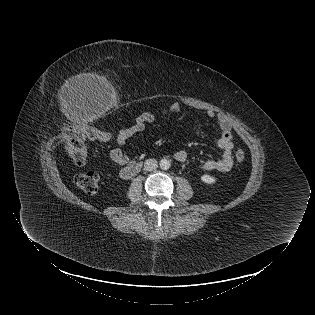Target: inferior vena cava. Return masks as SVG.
<instances>
[{
  "mask_svg": "<svg viewBox=\"0 0 315 315\" xmlns=\"http://www.w3.org/2000/svg\"><path fill=\"white\" fill-rule=\"evenodd\" d=\"M158 167V163L155 159H147L144 163L145 171H153Z\"/></svg>",
  "mask_w": 315,
  "mask_h": 315,
  "instance_id": "inferior-vena-cava-1",
  "label": "inferior vena cava"
}]
</instances>
